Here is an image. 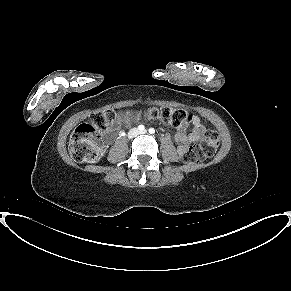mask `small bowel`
<instances>
[{"label":"small bowel","instance_id":"c3829d8e","mask_svg":"<svg viewBox=\"0 0 291 291\" xmlns=\"http://www.w3.org/2000/svg\"><path fill=\"white\" fill-rule=\"evenodd\" d=\"M137 117L130 111L122 113L119 115V120L117 124V128H120L123 125L130 124ZM192 127L190 131H187V126L183 125L178 129L176 133V141L178 142V149L180 152L184 151L186 146L189 143H194L199 141L205 132V127L203 126L200 118L196 115L191 118ZM115 137V130L108 129L104 133V138L107 142H110Z\"/></svg>","mask_w":291,"mask_h":291}]
</instances>
